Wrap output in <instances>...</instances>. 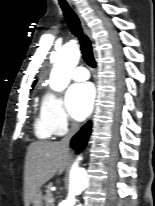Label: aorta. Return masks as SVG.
<instances>
[{"mask_svg":"<svg viewBox=\"0 0 155 206\" xmlns=\"http://www.w3.org/2000/svg\"><path fill=\"white\" fill-rule=\"evenodd\" d=\"M80 57L79 48L75 41L66 43L58 52L57 61L51 71L49 85L54 91L64 90L70 82L74 68ZM81 157L72 166L68 195L60 203V206H74L76 196L81 194L87 186L86 171L79 167Z\"/></svg>","mask_w":155,"mask_h":206,"instance_id":"1","label":"aorta"}]
</instances>
